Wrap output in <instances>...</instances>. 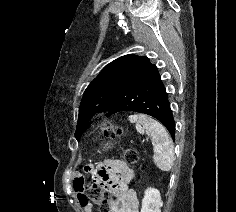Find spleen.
<instances>
[{
  "instance_id": "3e777b00",
  "label": "spleen",
  "mask_w": 236,
  "mask_h": 212,
  "mask_svg": "<svg viewBox=\"0 0 236 212\" xmlns=\"http://www.w3.org/2000/svg\"><path fill=\"white\" fill-rule=\"evenodd\" d=\"M129 121L135 124L140 134L146 133L150 136L155 165L162 171H170L174 161V146L163 125L144 114L130 115Z\"/></svg>"
}]
</instances>
